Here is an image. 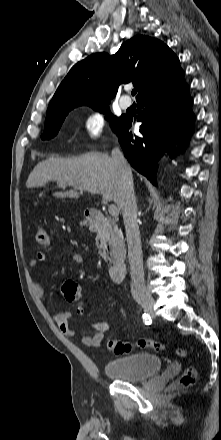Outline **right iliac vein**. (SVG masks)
I'll use <instances>...</instances> for the list:
<instances>
[{"label":"right iliac vein","mask_w":221,"mask_h":440,"mask_svg":"<svg viewBox=\"0 0 221 440\" xmlns=\"http://www.w3.org/2000/svg\"><path fill=\"white\" fill-rule=\"evenodd\" d=\"M139 303L147 314L151 316L154 315V310H153L154 300L152 297L147 296L146 298L142 299Z\"/></svg>","instance_id":"63e3f726"}]
</instances>
